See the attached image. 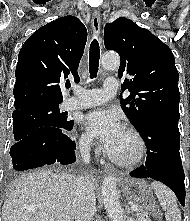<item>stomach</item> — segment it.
<instances>
[{"instance_id": "0dacf381", "label": "stomach", "mask_w": 190, "mask_h": 221, "mask_svg": "<svg viewBox=\"0 0 190 221\" xmlns=\"http://www.w3.org/2000/svg\"><path fill=\"white\" fill-rule=\"evenodd\" d=\"M120 186L126 198L141 204L146 211L156 214L158 205L150 185L145 180L125 177L120 179Z\"/></svg>"}]
</instances>
